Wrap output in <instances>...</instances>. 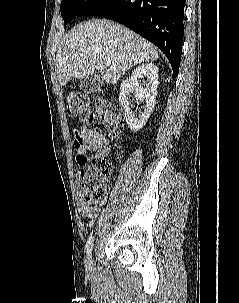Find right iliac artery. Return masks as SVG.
I'll return each mask as SVG.
<instances>
[{"instance_id": "right-iliac-artery-1", "label": "right iliac artery", "mask_w": 239, "mask_h": 303, "mask_svg": "<svg viewBox=\"0 0 239 303\" xmlns=\"http://www.w3.org/2000/svg\"><path fill=\"white\" fill-rule=\"evenodd\" d=\"M93 241H94V238L92 235H90L87 240V243H86V252H87L88 257L90 256L92 249H93Z\"/></svg>"}]
</instances>
